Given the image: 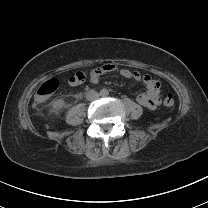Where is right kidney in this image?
Listing matches in <instances>:
<instances>
[{
    "label": "right kidney",
    "mask_w": 208,
    "mask_h": 208,
    "mask_svg": "<svg viewBox=\"0 0 208 208\" xmlns=\"http://www.w3.org/2000/svg\"><path fill=\"white\" fill-rule=\"evenodd\" d=\"M51 107L54 110L65 108L66 107V101L63 98H56L51 102Z\"/></svg>",
    "instance_id": "obj_1"
}]
</instances>
